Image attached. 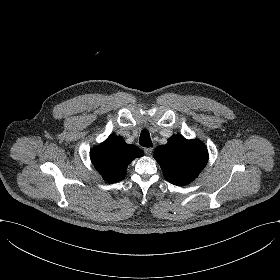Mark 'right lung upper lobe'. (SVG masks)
<instances>
[{"instance_id":"obj_1","label":"right lung upper lobe","mask_w":280,"mask_h":280,"mask_svg":"<svg viewBox=\"0 0 280 280\" xmlns=\"http://www.w3.org/2000/svg\"><path fill=\"white\" fill-rule=\"evenodd\" d=\"M142 155L141 149L126 144L121 136L114 134L90 152L92 163L108 183L121 181L126 175L128 164Z\"/></svg>"}]
</instances>
